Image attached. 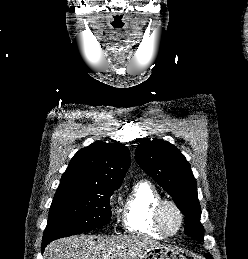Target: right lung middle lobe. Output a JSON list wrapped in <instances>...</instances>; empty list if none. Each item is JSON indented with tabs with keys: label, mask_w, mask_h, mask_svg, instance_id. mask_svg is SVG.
I'll list each match as a JSON object with an SVG mask.
<instances>
[{
	"label": "right lung middle lobe",
	"mask_w": 248,
	"mask_h": 259,
	"mask_svg": "<svg viewBox=\"0 0 248 259\" xmlns=\"http://www.w3.org/2000/svg\"><path fill=\"white\" fill-rule=\"evenodd\" d=\"M118 188L58 187L43 240H55L102 227L111 221L110 196Z\"/></svg>",
	"instance_id": "right-lung-middle-lobe-1"
}]
</instances>
